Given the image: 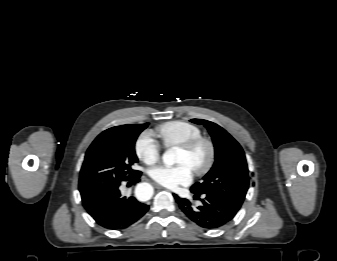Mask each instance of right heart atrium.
<instances>
[{
  "instance_id": "right-heart-atrium-1",
  "label": "right heart atrium",
  "mask_w": 337,
  "mask_h": 261,
  "mask_svg": "<svg viewBox=\"0 0 337 261\" xmlns=\"http://www.w3.org/2000/svg\"><path fill=\"white\" fill-rule=\"evenodd\" d=\"M138 158L148 165L156 163L160 157L161 147L150 131L143 132L135 143Z\"/></svg>"
}]
</instances>
